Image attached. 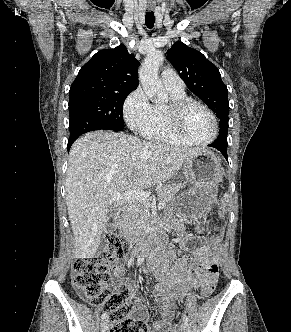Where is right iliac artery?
<instances>
[{
    "label": "right iliac artery",
    "instance_id": "obj_1",
    "mask_svg": "<svg viewBox=\"0 0 291 332\" xmlns=\"http://www.w3.org/2000/svg\"><path fill=\"white\" fill-rule=\"evenodd\" d=\"M142 262H143V258H139L137 261V264L140 265ZM106 318H107V314L106 313L102 314V319H106Z\"/></svg>",
    "mask_w": 291,
    "mask_h": 332
}]
</instances>
